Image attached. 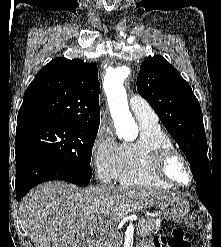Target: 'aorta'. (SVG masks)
I'll use <instances>...</instances> for the list:
<instances>
[{"instance_id": "aorta-1", "label": "aorta", "mask_w": 221, "mask_h": 247, "mask_svg": "<svg viewBox=\"0 0 221 247\" xmlns=\"http://www.w3.org/2000/svg\"><path fill=\"white\" fill-rule=\"evenodd\" d=\"M128 73L127 67L114 69L105 75L103 82L109 109L120 139L134 138L138 131L135 120L129 112L126 90L123 85Z\"/></svg>"}]
</instances>
